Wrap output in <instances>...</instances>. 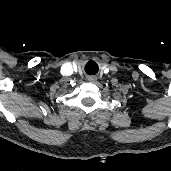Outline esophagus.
I'll use <instances>...</instances> for the list:
<instances>
[{
    "instance_id": "obj_1",
    "label": "esophagus",
    "mask_w": 171,
    "mask_h": 171,
    "mask_svg": "<svg viewBox=\"0 0 171 171\" xmlns=\"http://www.w3.org/2000/svg\"><path fill=\"white\" fill-rule=\"evenodd\" d=\"M90 80H96V77L92 76L90 77Z\"/></svg>"
}]
</instances>
